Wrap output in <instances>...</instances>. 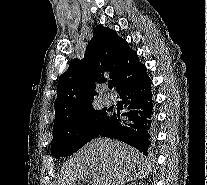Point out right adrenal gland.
Instances as JSON below:
<instances>
[{"mask_svg":"<svg viewBox=\"0 0 207 185\" xmlns=\"http://www.w3.org/2000/svg\"><path fill=\"white\" fill-rule=\"evenodd\" d=\"M123 185H125V183H123ZM129 185H136V181H131V183H129Z\"/></svg>","mask_w":207,"mask_h":185,"instance_id":"2a0ac1e0","label":"right adrenal gland"}]
</instances>
